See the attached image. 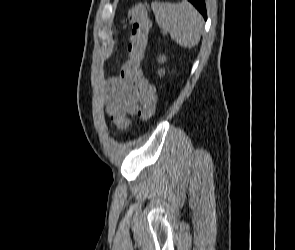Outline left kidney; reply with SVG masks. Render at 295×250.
<instances>
[{
  "label": "left kidney",
  "mask_w": 295,
  "mask_h": 250,
  "mask_svg": "<svg viewBox=\"0 0 295 250\" xmlns=\"http://www.w3.org/2000/svg\"><path fill=\"white\" fill-rule=\"evenodd\" d=\"M165 61V58L164 57H161L160 59H159V62H164Z\"/></svg>",
  "instance_id": "obj_1"
}]
</instances>
